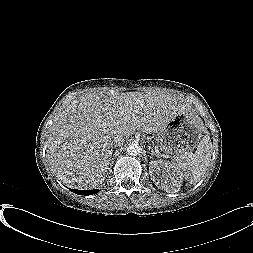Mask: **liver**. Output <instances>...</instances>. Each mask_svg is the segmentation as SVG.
<instances>
[{"instance_id":"liver-1","label":"liver","mask_w":253,"mask_h":253,"mask_svg":"<svg viewBox=\"0 0 253 253\" xmlns=\"http://www.w3.org/2000/svg\"><path fill=\"white\" fill-rule=\"evenodd\" d=\"M182 113L194 114L188 103L169 93H85L71 101L50 127L49 165L62 183L93 189L105 180L114 137L122 144L136 130L157 133Z\"/></svg>"}]
</instances>
